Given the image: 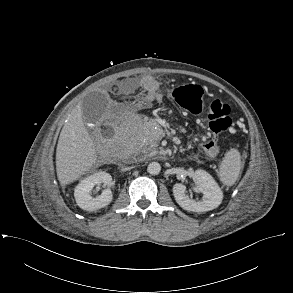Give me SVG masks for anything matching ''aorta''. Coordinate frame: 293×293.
<instances>
[{
    "label": "aorta",
    "instance_id": "obj_1",
    "mask_svg": "<svg viewBox=\"0 0 293 293\" xmlns=\"http://www.w3.org/2000/svg\"><path fill=\"white\" fill-rule=\"evenodd\" d=\"M161 171V165L158 162H151L147 167V172L151 175H157Z\"/></svg>",
    "mask_w": 293,
    "mask_h": 293
}]
</instances>
